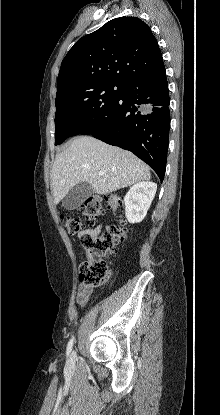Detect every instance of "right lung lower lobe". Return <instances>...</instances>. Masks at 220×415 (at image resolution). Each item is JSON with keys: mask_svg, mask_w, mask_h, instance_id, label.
<instances>
[{"mask_svg": "<svg viewBox=\"0 0 220 415\" xmlns=\"http://www.w3.org/2000/svg\"><path fill=\"white\" fill-rule=\"evenodd\" d=\"M165 66L124 83L104 124L91 135L133 152L163 181L170 128Z\"/></svg>", "mask_w": 220, "mask_h": 415, "instance_id": "right-lung-lower-lobe-1", "label": "right lung lower lobe"}]
</instances>
